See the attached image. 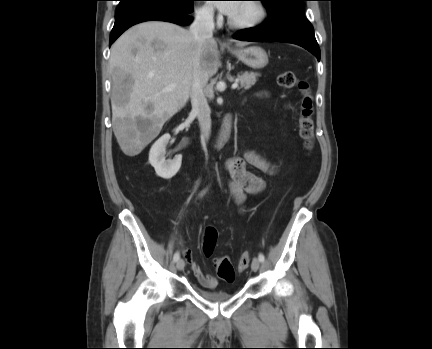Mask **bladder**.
<instances>
[{
	"label": "bladder",
	"instance_id": "bladder-1",
	"mask_svg": "<svg viewBox=\"0 0 432 349\" xmlns=\"http://www.w3.org/2000/svg\"><path fill=\"white\" fill-rule=\"evenodd\" d=\"M197 293L205 300L213 303H221L229 299L232 294L224 290H209L197 288Z\"/></svg>",
	"mask_w": 432,
	"mask_h": 349
}]
</instances>
